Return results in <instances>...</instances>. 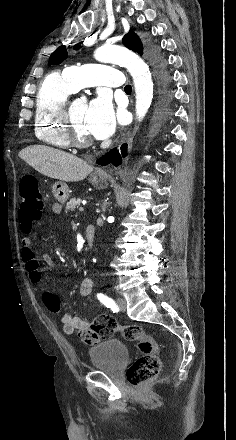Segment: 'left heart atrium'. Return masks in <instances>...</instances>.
Here are the masks:
<instances>
[{
  "label": "left heart atrium",
  "instance_id": "39dd6f15",
  "mask_svg": "<svg viewBox=\"0 0 236 440\" xmlns=\"http://www.w3.org/2000/svg\"><path fill=\"white\" fill-rule=\"evenodd\" d=\"M85 123L90 135L96 139H106L114 133L116 114L108 96L99 95L87 105Z\"/></svg>",
  "mask_w": 236,
  "mask_h": 440
}]
</instances>
